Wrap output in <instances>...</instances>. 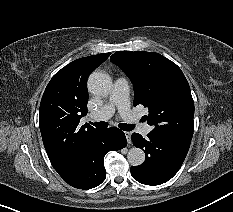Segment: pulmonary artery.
<instances>
[{"mask_svg":"<svg viewBox=\"0 0 233 212\" xmlns=\"http://www.w3.org/2000/svg\"><path fill=\"white\" fill-rule=\"evenodd\" d=\"M115 110H118L122 118L125 120H135V116L130 109L129 86L128 81L125 78L116 79L108 102L99 110L91 113L90 119L92 121L107 120L113 115ZM151 130L152 127L148 124H142L139 129L140 133L143 135L149 134Z\"/></svg>","mask_w":233,"mask_h":212,"instance_id":"e3ab8cb5","label":"pulmonary artery"}]
</instances>
